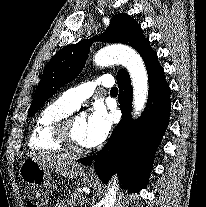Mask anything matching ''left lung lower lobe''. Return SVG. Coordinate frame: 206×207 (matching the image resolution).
<instances>
[{
    "instance_id": "obj_1",
    "label": "left lung lower lobe",
    "mask_w": 206,
    "mask_h": 207,
    "mask_svg": "<svg viewBox=\"0 0 206 207\" xmlns=\"http://www.w3.org/2000/svg\"><path fill=\"white\" fill-rule=\"evenodd\" d=\"M142 58L146 64L149 79V96L142 115L133 120L132 86L128 73L117 78L118 100L122 119L113 130L103 149L95 158V171L103 183L118 172L122 188L139 192L145 188L152 169L154 154L167 129L170 116L169 85L164 70L158 62L157 53L149 47ZM93 157L81 160L91 164Z\"/></svg>"
}]
</instances>
